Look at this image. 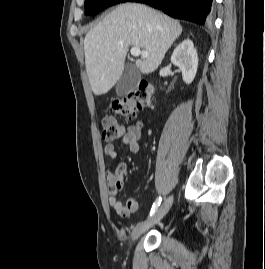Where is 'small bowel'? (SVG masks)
I'll return each mask as SVG.
<instances>
[{
  "instance_id": "c3829d8e",
  "label": "small bowel",
  "mask_w": 265,
  "mask_h": 269,
  "mask_svg": "<svg viewBox=\"0 0 265 269\" xmlns=\"http://www.w3.org/2000/svg\"><path fill=\"white\" fill-rule=\"evenodd\" d=\"M142 128V124L130 126L120 139L121 144L128 147L132 153H138L140 150L139 140ZM104 153L109 158L113 160L116 159L117 151L115 144H106ZM127 175V166L124 163H120L114 170L109 169L106 176V183L109 188V204L115 212L122 217L131 215L138 208V202L134 198H129L126 203H123L118 199V194L124 188V180Z\"/></svg>"
}]
</instances>
